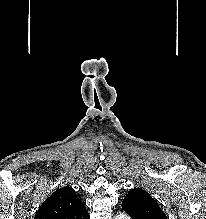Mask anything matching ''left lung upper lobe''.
Here are the masks:
<instances>
[{"mask_svg": "<svg viewBox=\"0 0 206 219\" xmlns=\"http://www.w3.org/2000/svg\"><path fill=\"white\" fill-rule=\"evenodd\" d=\"M122 209L132 219H167L156 201L139 188L129 191L122 202Z\"/></svg>", "mask_w": 206, "mask_h": 219, "instance_id": "obj_1", "label": "left lung upper lobe"}]
</instances>
